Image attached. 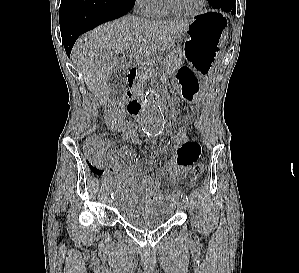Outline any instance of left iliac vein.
Returning <instances> with one entry per match:
<instances>
[{"label": "left iliac vein", "mask_w": 299, "mask_h": 273, "mask_svg": "<svg viewBox=\"0 0 299 273\" xmlns=\"http://www.w3.org/2000/svg\"><path fill=\"white\" fill-rule=\"evenodd\" d=\"M178 207L182 210H185L186 209V201L180 200L178 203Z\"/></svg>", "instance_id": "left-iliac-vein-1"}]
</instances>
